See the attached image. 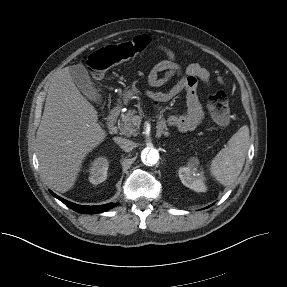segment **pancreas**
<instances>
[{"mask_svg":"<svg viewBox=\"0 0 287 287\" xmlns=\"http://www.w3.org/2000/svg\"><path fill=\"white\" fill-rule=\"evenodd\" d=\"M136 110H128L125 114L121 115L119 121V129L123 135L136 136L138 134L139 124L134 121Z\"/></svg>","mask_w":287,"mask_h":287,"instance_id":"cf45deb5","label":"pancreas"}]
</instances>
